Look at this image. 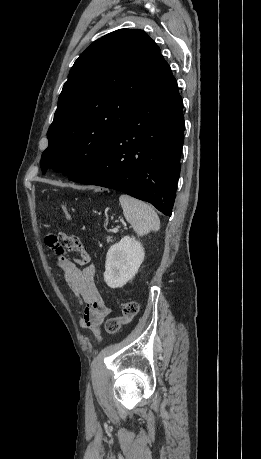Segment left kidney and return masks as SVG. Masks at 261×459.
<instances>
[{"label":"left kidney","instance_id":"left-kidney-1","mask_svg":"<svg viewBox=\"0 0 261 459\" xmlns=\"http://www.w3.org/2000/svg\"><path fill=\"white\" fill-rule=\"evenodd\" d=\"M145 257L144 248L134 237L125 236L106 255L104 280L110 288L123 287L138 272Z\"/></svg>","mask_w":261,"mask_h":459}]
</instances>
